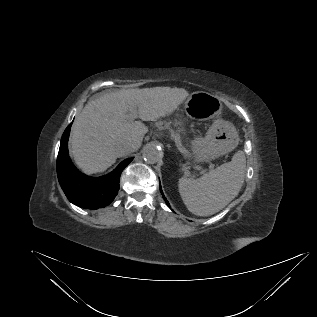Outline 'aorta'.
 Listing matches in <instances>:
<instances>
[{
  "label": "aorta",
  "mask_w": 317,
  "mask_h": 317,
  "mask_svg": "<svg viewBox=\"0 0 317 317\" xmlns=\"http://www.w3.org/2000/svg\"><path fill=\"white\" fill-rule=\"evenodd\" d=\"M161 155L162 154L159 147L152 143L147 144L144 147L143 153H142L144 160L149 164L157 163L159 159L161 158Z\"/></svg>",
  "instance_id": "aorta-1"
}]
</instances>
